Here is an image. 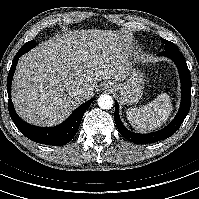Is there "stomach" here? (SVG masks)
<instances>
[{
	"mask_svg": "<svg viewBox=\"0 0 199 199\" xmlns=\"http://www.w3.org/2000/svg\"><path fill=\"white\" fill-rule=\"evenodd\" d=\"M144 84V74L138 69H130L127 80L116 84L120 100L124 104L137 103L143 95Z\"/></svg>",
	"mask_w": 199,
	"mask_h": 199,
	"instance_id": "stomach-1",
	"label": "stomach"
}]
</instances>
